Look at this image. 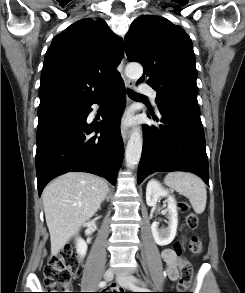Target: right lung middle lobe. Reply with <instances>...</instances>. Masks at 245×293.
I'll return each mask as SVG.
<instances>
[{
	"label": "right lung middle lobe",
	"mask_w": 245,
	"mask_h": 293,
	"mask_svg": "<svg viewBox=\"0 0 245 293\" xmlns=\"http://www.w3.org/2000/svg\"><path fill=\"white\" fill-rule=\"evenodd\" d=\"M80 105H54L38 109V128L61 116L68 115L78 109Z\"/></svg>",
	"instance_id": "dd1d6c3e"
}]
</instances>
